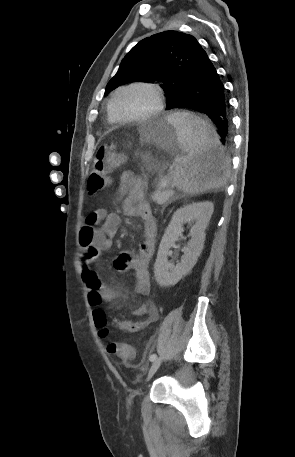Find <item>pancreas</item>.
Masks as SVG:
<instances>
[{
    "mask_svg": "<svg viewBox=\"0 0 295 457\" xmlns=\"http://www.w3.org/2000/svg\"><path fill=\"white\" fill-rule=\"evenodd\" d=\"M170 183L167 180V185L162 186L161 183L159 182L157 185V190L152 193V200L154 202H157L159 204H163L165 202H170L174 200L173 197V190L169 187Z\"/></svg>",
    "mask_w": 295,
    "mask_h": 457,
    "instance_id": "obj_1",
    "label": "pancreas"
}]
</instances>
